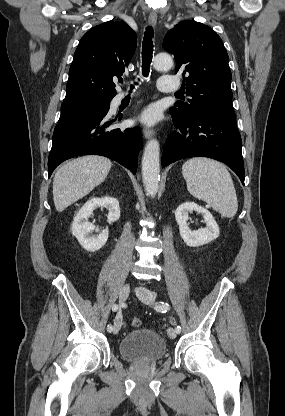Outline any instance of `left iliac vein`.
<instances>
[{
    "mask_svg": "<svg viewBox=\"0 0 285 416\" xmlns=\"http://www.w3.org/2000/svg\"><path fill=\"white\" fill-rule=\"evenodd\" d=\"M136 294H137L138 298L146 304L151 305L153 303V301L155 300L154 292H152L149 289L143 288V287H138L136 289ZM167 333H168L169 338H171V339H174L177 335V332L174 331V329L172 327L167 329Z\"/></svg>",
    "mask_w": 285,
    "mask_h": 416,
    "instance_id": "1",
    "label": "left iliac vein"
}]
</instances>
